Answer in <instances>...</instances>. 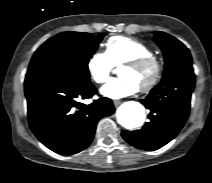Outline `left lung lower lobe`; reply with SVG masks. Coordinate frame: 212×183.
Instances as JSON below:
<instances>
[{"instance_id":"1","label":"left lung lower lobe","mask_w":212,"mask_h":183,"mask_svg":"<svg viewBox=\"0 0 212 183\" xmlns=\"http://www.w3.org/2000/svg\"><path fill=\"white\" fill-rule=\"evenodd\" d=\"M195 86L192 65L185 66L162 80L141 101L150 110V122L136 131H122V137L142 150H156L170 142L184 126Z\"/></svg>"}]
</instances>
